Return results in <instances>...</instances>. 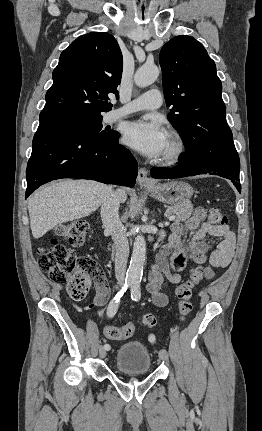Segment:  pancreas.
<instances>
[{
	"mask_svg": "<svg viewBox=\"0 0 262 431\" xmlns=\"http://www.w3.org/2000/svg\"><path fill=\"white\" fill-rule=\"evenodd\" d=\"M191 210V206L188 205L167 207L166 215H174L175 221L180 222L185 221L191 215Z\"/></svg>",
	"mask_w": 262,
	"mask_h": 431,
	"instance_id": "cf45deb5",
	"label": "pancreas"
}]
</instances>
